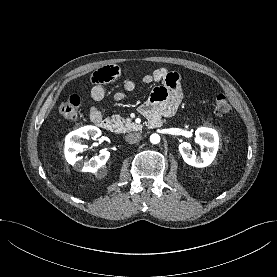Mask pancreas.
<instances>
[{
    "label": "pancreas",
    "instance_id": "pancreas-1",
    "mask_svg": "<svg viewBox=\"0 0 277 277\" xmlns=\"http://www.w3.org/2000/svg\"><path fill=\"white\" fill-rule=\"evenodd\" d=\"M111 121L114 123V128L117 133H126L138 128L136 124L128 122L120 115H113Z\"/></svg>",
    "mask_w": 277,
    "mask_h": 277
}]
</instances>
